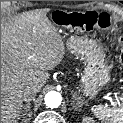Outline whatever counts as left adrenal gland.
<instances>
[{
	"instance_id": "a2214340",
	"label": "left adrenal gland",
	"mask_w": 123,
	"mask_h": 123,
	"mask_svg": "<svg viewBox=\"0 0 123 123\" xmlns=\"http://www.w3.org/2000/svg\"><path fill=\"white\" fill-rule=\"evenodd\" d=\"M76 96L73 95V99H75ZM76 103V106L75 107H82L84 105V103L82 101H79V98H77V101H72L71 105L73 106L74 104Z\"/></svg>"
}]
</instances>
